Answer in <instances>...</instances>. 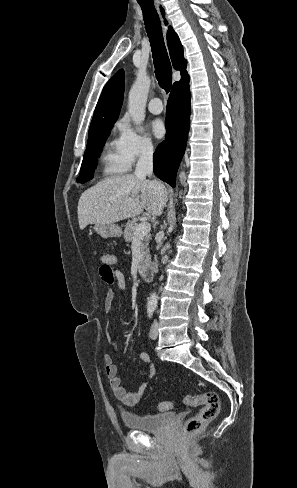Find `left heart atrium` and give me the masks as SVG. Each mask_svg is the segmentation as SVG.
<instances>
[{
    "label": "left heart atrium",
    "instance_id": "39dd6f15",
    "mask_svg": "<svg viewBox=\"0 0 297 488\" xmlns=\"http://www.w3.org/2000/svg\"><path fill=\"white\" fill-rule=\"evenodd\" d=\"M151 130L153 135L158 139H162L166 135V127L164 122L161 120L153 121L151 125Z\"/></svg>",
    "mask_w": 297,
    "mask_h": 488
}]
</instances>
